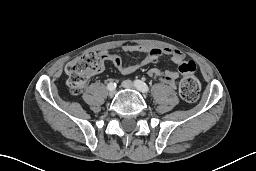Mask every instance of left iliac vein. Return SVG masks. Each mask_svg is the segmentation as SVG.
<instances>
[{
  "instance_id": "1",
  "label": "left iliac vein",
  "mask_w": 256,
  "mask_h": 171,
  "mask_svg": "<svg viewBox=\"0 0 256 171\" xmlns=\"http://www.w3.org/2000/svg\"><path fill=\"white\" fill-rule=\"evenodd\" d=\"M121 85H122L123 88H126V89H135V90L141 91L130 80L123 81Z\"/></svg>"
}]
</instances>
